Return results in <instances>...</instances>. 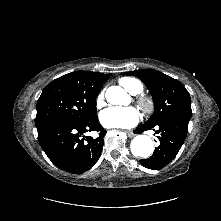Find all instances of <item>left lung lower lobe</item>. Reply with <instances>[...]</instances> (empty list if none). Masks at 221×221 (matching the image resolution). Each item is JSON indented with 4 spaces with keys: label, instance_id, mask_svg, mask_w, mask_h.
Returning <instances> with one entry per match:
<instances>
[{
    "label": "left lung lower lobe",
    "instance_id": "1",
    "mask_svg": "<svg viewBox=\"0 0 221 221\" xmlns=\"http://www.w3.org/2000/svg\"><path fill=\"white\" fill-rule=\"evenodd\" d=\"M188 119L173 118L155 125L143 124L134 130L139 134L143 131L157 128L155 131L160 145L155 148L153 155L140 160L142 166L148 169H161L168 165L178 154L188 132Z\"/></svg>",
    "mask_w": 221,
    "mask_h": 221
}]
</instances>
